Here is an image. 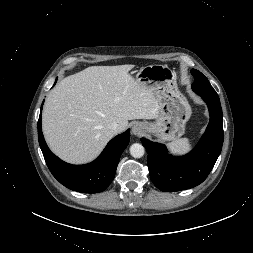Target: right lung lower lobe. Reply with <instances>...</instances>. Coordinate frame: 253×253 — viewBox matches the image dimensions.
Segmentation results:
<instances>
[{"label": "right lung lower lobe", "instance_id": "98d812e1", "mask_svg": "<svg viewBox=\"0 0 253 253\" xmlns=\"http://www.w3.org/2000/svg\"><path fill=\"white\" fill-rule=\"evenodd\" d=\"M42 109V108H41ZM130 129L113 138L101 155L86 165H71L60 160L48 148L38 120V140L44 159L53 176L65 187L81 193L104 191L115 176L120 156L127 147Z\"/></svg>", "mask_w": 253, "mask_h": 253}]
</instances>
